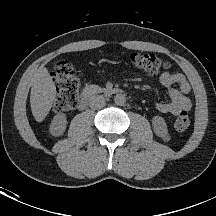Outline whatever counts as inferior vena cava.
Instances as JSON below:
<instances>
[{"label": "inferior vena cava", "mask_w": 216, "mask_h": 216, "mask_svg": "<svg viewBox=\"0 0 216 216\" xmlns=\"http://www.w3.org/2000/svg\"><path fill=\"white\" fill-rule=\"evenodd\" d=\"M105 98L101 95H94L89 99V106L93 109H101L105 106Z\"/></svg>", "instance_id": "602c4592"}]
</instances>
